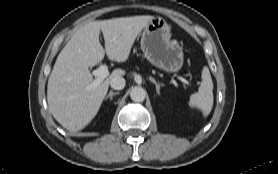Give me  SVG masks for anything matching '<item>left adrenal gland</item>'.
I'll return each instance as SVG.
<instances>
[{"instance_id":"obj_1","label":"left adrenal gland","mask_w":278,"mask_h":174,"mask_svg":"<svg viewBox=\"0 0 278 174\" xmlns=\"http://www.w3.org/2000/svg\"><path fill=\"white\" fill-rule=\"evenodd\" d=\"M149 80L155 85L156 92L159 95L160 94V88H161V86H163V84L157 83L153 77H149Z\"/></svg>"}]
</instances>
